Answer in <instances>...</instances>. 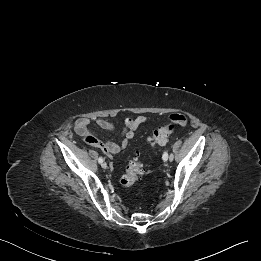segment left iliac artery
Returning <instances> with one entry per match:
<instances>
[{
  "mask_svg": "<svg viewBox=\"0 0 261 261\" xmlns=\"http://www.w3.org/2000/svg\"><path fill=\"white\" fill-rule=\"evenodd\" d=\"M173 158H174V155H173V154H170L169 159L172 161ZM162 159H163L164 161H167V159H168V153H167L166 151L164 152V154H163V156H162Z\"/></svg>",
  "mask_w": 261,
  "mask_h": 261,
  "instance_id": "left-iliac-artery-1",
  "label": "left iliac artery"
}]
</instances>
